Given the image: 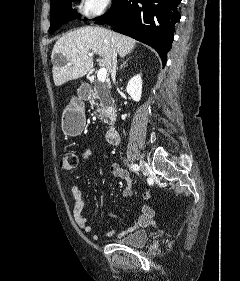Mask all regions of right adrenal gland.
Instances as JSON below:
<instances>
[{
  "label": "right adrenal gland",
  "mask_w": 240,
  "mask_h": 281,
  "mask_svg": "<svg viewBox=\"0 0 240 281\" xmlns=\"http://www.w3.org/2000/svg\"><path fill=\"white\" fill-rule=\"evenodd\" d=\"M129 59V58H128ZM128 59H126L125 61L122 62V64L120 65V69H123L126 67L127 61Z\"/></svg>",
  "instance_id": "obj_1"
}]
</instances>
